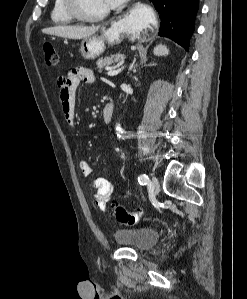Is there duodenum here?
I'll return each instance as SVG.
<instances>
[{"label": "duodenum", "instance_id": "410a0bca", "mask_svg": "<svg viewBox=\"0 0 247 299\" xmlns=\"http://www.w3.org/2000/svg\"><path fill=\"white\" fill-rule=\"evenodd\" d=\"M114 114V105L112 103L107 104L103 109V120L110 122Z\"/></svg>", "mask_w": 247, "mask_h": 299}]
</instances>
